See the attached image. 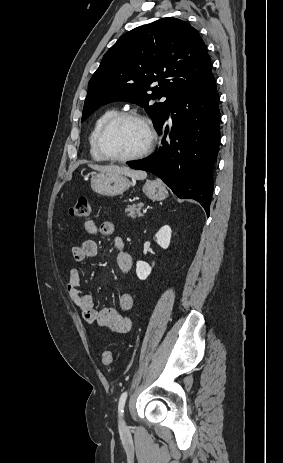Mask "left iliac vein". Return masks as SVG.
<instances>
[{
    "label": "left iliac vein",
    "mask_w": 283,
    "mask_h": 463,
    "mask_svg": "<svg viewBox=\"0 0 283 463\" xmlns=\"http://www.w3.org/2000/svg\"><path fill=\"white\" fill-rule=\"evenodd\" d=\"M120 427H121V428H125V427H126V422H125V419H124V414H121Z\"/></svg>",
    "instance_id": "4c4485c4"
}]
</instances>
